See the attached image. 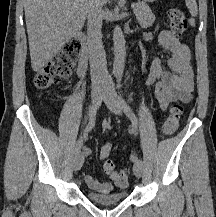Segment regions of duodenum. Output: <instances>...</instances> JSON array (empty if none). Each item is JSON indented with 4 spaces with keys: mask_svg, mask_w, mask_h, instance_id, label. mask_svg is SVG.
Instances as JSON below:
<instances>
[{
    "mask_svg": "<svg viewBox=\"0 0 216 217\" xmlns=\"http://www.w3.org/2000/svg\"><path fill=\"white\" fill-rule=\"evenodd\" d=\"M76 39L81 45L79 54V71H85L90 61V47L83 32L76 33Z\"/></svg>",
    "mask_w": 216,
    "mask_h": 217,
    "instance_id": "duodenum-1",
    "label": "duodenum"
}]
</instances>
